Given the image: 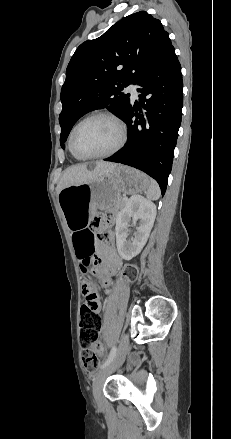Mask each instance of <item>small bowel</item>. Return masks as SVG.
<instances>
[{
	"mask_svg": "<svg viewBox=\"0 0 231 439\" xmlns=\"http://www.w3.org/2000/svg\"><path fill=\"white\" fill-rule=\"evenodd\" d=\"M111 220V218H110ZM98 226L100 219H97ZM113 234L110 233L107 240H96L93 232L87 228H76L72 232V244L76 258L80 267L86 269L84 263L94 252L102 259L103 268L100 274L102 286L108 290L112 286V277L116 274L122 265L121 259L118 257L116 250L112 244ZM86 296L84 305L90 306L97 313L101 311V303L98 295L94 290L93 283L86 281L83 286Z\"/></svg>",
	"mask_w": 231,
	"mask_h": 439,
	"instance_id": "c3829d8e",
	"label": "small bowel"
}]
</instances>
